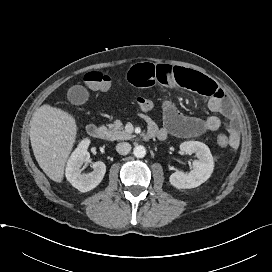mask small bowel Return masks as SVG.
<instances>
[{"mask_svg": "<svg viewBox=\"0 0 272 272\" xmlns=\"http://www.w3.org/2000/svg\"><path fill=\"white\" fill-rule=\"evenodd\" d=\"M128 77L129 81L139 88H148L156 84L166 87L178 86L208 97L210 111L227 118L225 128L228 132L229 146L234 149L239 147L240 137L235 109L213 80L187 68L149 62L134 66L129 71ZM142 117L148 124V132L159 139H165L169 135L179 138L196 137L216 131L222 125L220 118L215 115L206 118L186 116L169 100L162 102V127H158L148 115Z\"/></svg>", "mask_w": 272, "mask_h": 272, "instance_id": "1", "label": "small bowel"}]
</instances>
